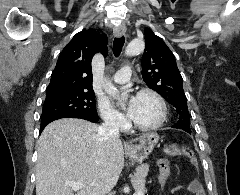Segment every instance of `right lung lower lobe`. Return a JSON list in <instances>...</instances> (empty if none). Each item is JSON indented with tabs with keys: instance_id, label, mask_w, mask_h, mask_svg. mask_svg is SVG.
Here are the masks:
<instances>
[{
	"instance_id": "right-lung-lower-lobe-1",
	"label": "right lung lower lobe",
	"mask_w": 240,
	"mask_h": 195,
	"mask_svg": "<svg viewBox=\"0 0 240 195\" xmlns=\"http://www.w3.org/2000/svg\"><path fill=\"white\" fill-rule=\"evenodd\" d=\"M61 118H81V119L89 120L91 122H98L99 121L98 115H90V114H76V115L56 117V118L41 122L42 124L40 126V133L43 131L45 126H47L50 122H52L54 120H57V119H61Z\"/></svg>"
}]
</instances>
